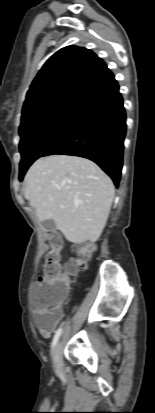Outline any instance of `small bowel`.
Here are the masks:
<instances>
[{"instance_id":"small-bowel-1","label":"small bowel","mask_w":155,"mask_h":413,"mask_svg":"<svg viewBox=\"0 0 155 413\" xmlns=\"http://www.w3.org/2000/svg\"><path fill=\"white\" fill-rule=\"evenodd\" d=\"M44 290V285L42 283H38L34 286L32 290V305H34L35 299L39 293ZM34 310L35 314V322L40 331V333L45 337L49 338L59 322L62 319V311L59 308H56L54 311L40 313Z\"/></svg>"}]
</instances>
